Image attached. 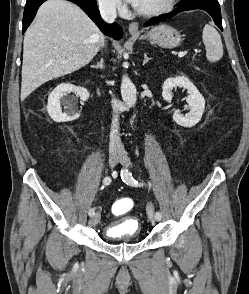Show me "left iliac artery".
Here are the masks:
<instances>
[{"instance_id":"left-iliac-artery-1","label":"left iliac artery","mask_w":249,"mask_h":294,"mask_svg":"<svg viewBox=\"0 0 249 294\" xmlns=\"http://www.w3.org/2000/svg\"><path fill=\"white\" fill-rule=\"evenodd\" d=\"M121 178H122V180L125 182V183H127V184H129V185H132V186H142L143 184H141V183H138V181H136L134 178H133V176H132V174L127 170V169H124V170H122L121 171ZM161 213L160 212H156V214H155V219L157 220V221H159V220H161Z\"/></svg>"}]
</instances>
